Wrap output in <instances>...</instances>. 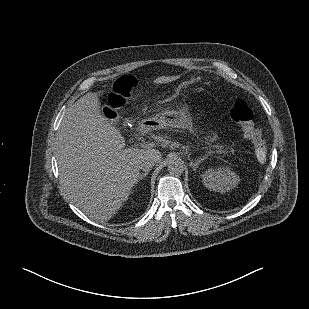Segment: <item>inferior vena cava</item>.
Here are the masks:
<instances>
[{"label": "inferior vena cava", "instance_id": "1", "mask_svg": "<svg viewBox=\"0 0 309 309\" xmlns=\"http://www.w3.org/2000/svg\"><path fill=\"white\" fill-rule=\"evenodd\" d=\"M154 164H155V161L153 159L144 160L140 165V169L147 172L154 166Z\"/></svg>", "mask_w": 309, "mask_h": 309}]
</instances>
